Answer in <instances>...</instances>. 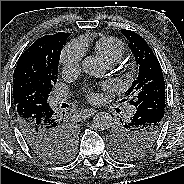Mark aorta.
Segmentation results:
<instances>
[{
  "instance_id": "762f6f07",
  "label": "aorta",
  "mask_w": 184,
  "mask_h": 184,
  "mask_svg": "<svg viewBox=\"0 0 184 184\" xmlns=\"http://www.w3.org/2000/svg\"><path fill=\"white\" fill-rule=\"evenodd\" d=\"M83 71L91 76L100 77L105 73V66L97 58L88 56L82 61ZM94 127L99 130L109 129L112 125V116L107 112H98L93 117Z\"/></svg>"
}]
</instances>
